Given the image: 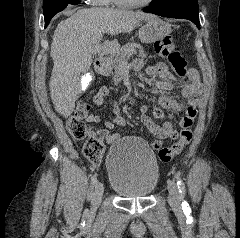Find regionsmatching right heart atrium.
Here are the masks:
<instances>
[{"instance_id":"obj_1","label":"right heart atrium","mask_w":240,"mask_h":238,"mask_svg":"<svg viewBox=\"0 0 240 238\" xmlns=\"http://www.w3.org/2000/svg\"><path fill=\"white\" fill-rule=\"evenodd\" d=\"M89 4L104 5L110 2V0H85Z\"/></svg>"}]
</instances>
